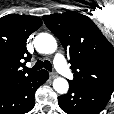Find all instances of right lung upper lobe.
Listing matches in <instances>:
<instances>
[{
    "instance_id": "obj_1",
    "label": "right lung upper lobe",
    "mask_w": 114,
    "mask_h": 114,
    "mask_svg": "<svg viewBox=\"0 0 114 114\" xmlns=\"http://www.w3.org/2000/svg\"><path fill=\"white\" fill-rule=\"evenodd\" d=\"M41 25L36 16L10 14L0 18V91L39 72H26L20 67L24 66L22 59H31L26 42Z\"/></svg>"
}]
</instances>
